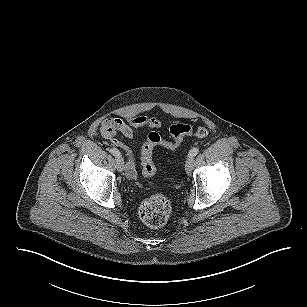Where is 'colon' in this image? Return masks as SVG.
<instances>
[{
	"label": "colon",
	"instance_id": "colon-1",
	"mask_svg": "<svg viewBox=\"0 0 307 307\" xmlns=\"http://www.w3.org/2000/svg\"><path fill=\"white\" fill-rule=\"evenodd\" d=\"M170 140L163 139L157 132L148 134L146 141L141 148L142 171L146 177L155 174L153 162V150L156 146H161L170 151H176L182 144L184 138L193 134V129L189 124L176 123L169 128ZM209 131L206 127H199L195 135L204 138ZM171 214V206L168 199L161 194H153L146 197L139 208L141 220L150 227H160L167 223Z\"/></svg>",
	"mask_w": 307,
	"mask_h": 307
}]
</instances>
